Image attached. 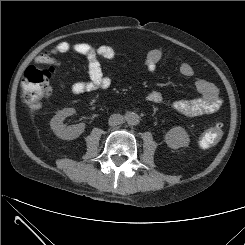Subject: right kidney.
<instances>
[{"instance_id": "ca27d5eb", "label": "right kidney", "mask_w": 245, "mask_h": 245, "mask_svg": "<svg viewBox=\"0 0 245 245\" xmlns=\"http://www.w3.org/2000/svg\"><path fill=\"white\" fill-rule=\"evenodd\" d=\"M75 112L76 111L74 108H64L63 110L58 111L57 114L51 119L50 126L56 136L63 140H73L84 132V123L71 126H65L63 124L65 118L73 115Z\"/></svg>"}]
</instances>
